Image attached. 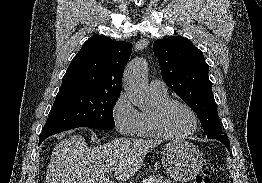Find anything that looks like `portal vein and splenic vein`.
Listing matches in <instances>:
<instances>
[{
    "instance_id": "1",
    "label": "portal vein and splenic vein",
    "mask_w": 262,
    "mask_h": 183,
    "mask_svg": "<svg viewBox=\"0 0 262 183\" xmlns=\"http://www.w3.org/2000/svg\"><path fill=\"white\" fill-rule=\"evenodd\" d=\"M112 172H113V170H108V172H107V173H108V174H111Z\"/></svg>"
}]
</instances>
